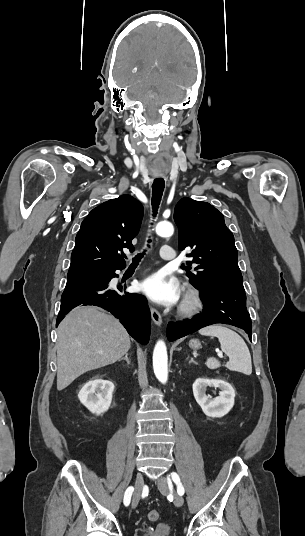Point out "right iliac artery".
<instances>
[{
	"label": "right iliac artery",
	"mask_w": 305,
	"mask_h": 536,
	"mask_svg": "<svg viewBox=\"0 0 305 536\" xmlns=\"http://www.w3.org/2000/svg\"><path fill=\"white\" fill-rule=\"evenodd\" d=\"M134 491V488L132 486L128 487L126 492H125V495H124V504L126 506L129 505L130 503V500H131V496H132V493Z\"/></svg>",
	"instance_id": "right-iliac-artery-1"
}]
</instances>
